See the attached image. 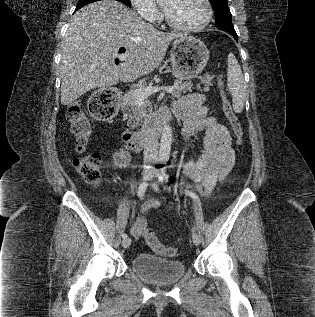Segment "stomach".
<instances>
[{"instance_id": "stomach-1", "label": "stomach", "mask_w": 315, "mask_h": 317, "mask_svg": "<svg viewBox=\"0 0 315 317\" xmlns=\"http://www.w3.org/2000/svg\"><path fill=\"white\" fill-rule=\"evenodd\" d=\"M209 51L206 45L192 36L174 41L171 50V72L177 79L189 80L196 77L206 66Z\"/></svg>"}]
</instances>
